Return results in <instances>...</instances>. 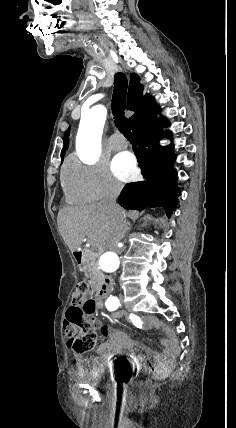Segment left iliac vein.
Returning a JSON list of instances; mask_svg holds the SVG:
<instances>
[{
	"label": "left iliac vein",
	"instance_id": "1",
	"mask_svg": "<svg viewBox=\"0 0 236 428\" xmlns=\"http://www.w3.org/2000/svg\"><path fill=\"white\" fill-rule=\"evenodd\" d=\"M119 299H120V301H123V298H122L121 294L119 295Z\"/></svg>",
	"mask_w": 236,
	"mask_h": 428
}]
</instances>
